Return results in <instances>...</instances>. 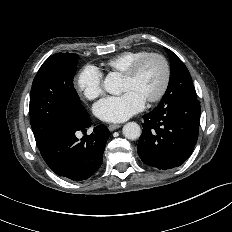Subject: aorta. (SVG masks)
Segmentation results:
<instances>
[{
  "instance_id": "762f6f07",
  "label": "aorta",
  "mask_w": 232,
  "mask_h": 232,
  "mask_svg": "<svg viewBox=\"0 0 232 232\" xmlns=\"http://www.w3.org/2000/svg\"><path fill=\"white\" fill-rule=\"evenodd\" d=\"M103 87L106 92L113 95H119L122 92V79L117 73H110L106 76ZM124 136L129 140H136L141 135V128L136 122H128L124 125Z\"/></svg>"
}]
</instances>
